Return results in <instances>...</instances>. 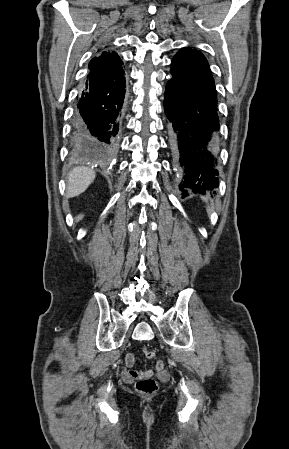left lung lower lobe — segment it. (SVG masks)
I'll return each instance as SVG.
<instances>
[{
    "label": "left lung lower lobe",
    "instance_id": "left-lung-lower-lobe-1",
    "mask_svg": "<svg viewBox=\"0 0 289 449\" xmlns=\"http://www.w3.org/2000/svg\"><path fill=\"white\" fill-rule=\"evenodd\" d=\"M171 75L164 109L170 122V146L183 168L179 189L184 197L189 190L204 194L219 184L215 158L219 118L214 79L204 55L190 47L175 55Z\"/></svg>",
    "mask_w": 289,
    "mask_h": 449
}]
</instances>
